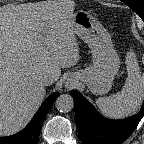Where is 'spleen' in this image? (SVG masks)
I'll list each match as a JSON object with an SVG mask.
<instances>
[{
    "instance_id": "spleen-1",
    "label": "spleen",
    "mask_w": 144,
    "mask_h": 144,
    "mask_svg": "<svg viewBox=\"0 0 144 144\" xmlns=\"http://www.w3.org/2000/svg\"><path fill=\"white\" fill-rule=\"evenodd\" d=\"M127 73L128 76L120 92L96 100L100 111L109 118L127 117L141 105L144 96V80L141 78L138 63L134 58L128 61Z\"/></svg>"
}]
</instances>
